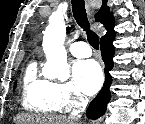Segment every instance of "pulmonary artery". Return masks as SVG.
<instances>
[{"instance_id": "pulmonary-artery-1", "label": "pulmonary artery", "mask_w": 145, "mask_h": 124, "mask_svg": "<svg viewBox=\"0 0 145 124\" xmlns=\"http://www.w3.org/2000/svg\"><path fill=\"white\" fill-rule=\"evenodd\" d=\"M70 52L77 58H86L92 55V50L84 41H77L70 45Z\"/></svg>"}]
</instances>
